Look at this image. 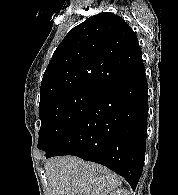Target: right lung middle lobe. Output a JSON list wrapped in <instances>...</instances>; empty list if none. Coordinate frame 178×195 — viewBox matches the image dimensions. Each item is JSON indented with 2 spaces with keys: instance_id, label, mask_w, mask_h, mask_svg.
<instances>
[{
  "instance_id": "right-lung-middle-lobe-1",
  "label": "right lung middle lobe",
  "mask_w": 178,
  "mask_h": 195,
  "mask_svg": "<svg viewBox=\"0 0 178 195\" xmlns=\"http://www.w3.org/2000/svg\"><path fill=\"white\" fill-rule=\"evenodd\" d=\"M99 91L80 89L52 96L39 104L38 148L54 150L92 106Z\"/></svg>"
}]
</instances>
